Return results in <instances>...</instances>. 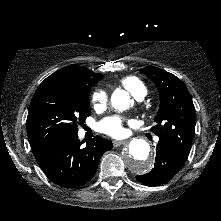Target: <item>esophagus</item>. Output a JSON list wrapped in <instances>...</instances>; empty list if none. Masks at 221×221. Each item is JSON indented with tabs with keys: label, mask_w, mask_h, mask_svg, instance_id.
I'll use <instances>...</instances> for the list:
<instances>
[{
	"label": "esophagus",
	"mask_w": 221,
	"mask_h": 221,
	"mask_svg": "<svg viewBox=\"0 0 221 221\" xmlns=\"http://www.w3.org/2000/svg\"><path fill=\"white\" fill-rule=\"evenodd\" d=\"M127 143H128L127 140H124V141H117V140H114V141H113V145H114V147H119V146H121V145H125V144H127Z\"/></svg>",
	"instance_id": "esophagus-1"
}]
</instances>
